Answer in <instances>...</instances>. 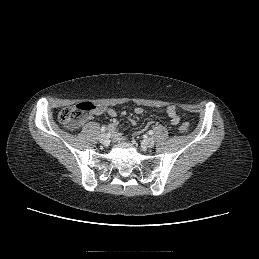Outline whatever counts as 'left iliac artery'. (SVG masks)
I'll return each instance as SVG.
<instances>
[{
  "label": "left iliac artery",
  "instance_id": "1",
  "mask_svg": "<svg viewBox=\"0 0 259 259\" xmlns=\"http://www.w3.org/2000/svg\"><path fill=\"white\" fill-rule=\"evenodd\" d=\"M148 134H149V135H152V134H153V131H152V130H149V131H148Z\"/></svg>",
  "mask_w": 259,
  "mask_h": 259
}]
</instances>
